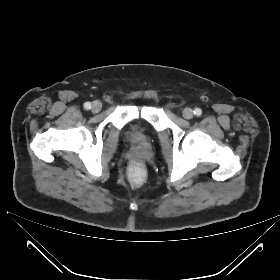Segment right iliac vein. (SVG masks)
I'll use <instances>...</instances> for the list:
<instances>
[{
    "mask_svg": "<svg viewBox=\"0 0 280 280\" xmlns=\"http://www.w3.org/2000/svg\"><path fill=\"white\" fill-rule=\"evenodd\" d=\"M101 108H102V104L100 101H94L92 103V107H91L92 112L97 113L101 110Z\"/></svg>",
    "mask_w": 280,
    "mask_h": 280,
    "instance_id": "obj_1",
    "label": "right iliac vein"
}]
</instances>
